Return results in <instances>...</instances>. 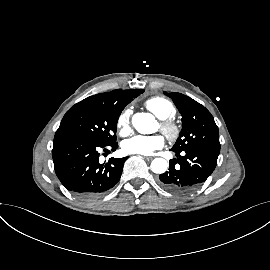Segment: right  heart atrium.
I'll return each instance as SVG.
<instances>
[{
  "label": "right heart atrium",
  "mask_w": 270,
  "mask_h": 270,
  "mask_svg": "<svg viewBox=\"0 0 270 270\" xmlns=\"http://www.w3.org/2000/svg\"><path fill=\"white\" fill-rule=\"evenodd\" d=\"M116 127L122 136H126L131 131V110L124 108L116 119Z\"/></svg>",
  "instance_id": "1"
}]
</instances>
